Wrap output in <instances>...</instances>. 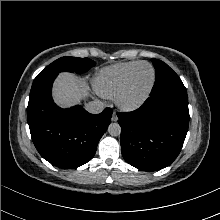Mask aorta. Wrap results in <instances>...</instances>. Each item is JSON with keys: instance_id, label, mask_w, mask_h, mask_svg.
<instances>
[{"instance_id": "obj_1", "label": "aorta", "mask_w": 220, "mask_h": 220, "mask_svg": "<svg viewBox=\"0 0 220 220\" xmlns=\"http://www.w3.org/2000/svg\"><path fill=\"white\" fill-rule=\"evenodd\" d=\"M108 132L111 136H119L121 133V127L118 123H111L108 127Z\"/></svg>"}]
</instances>
